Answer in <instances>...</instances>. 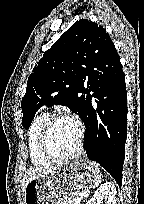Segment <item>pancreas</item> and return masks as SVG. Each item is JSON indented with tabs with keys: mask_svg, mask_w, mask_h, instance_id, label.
<instances>
[{
	"mask_svg": "<svg viewBox=\"0 0 144 204\" xmlns=\"http://www.w3.org/2000/svg\"><path fill=\"white\" fill-rule=\"evenodd\" d=\"M79 198V195H73V196H71V197H69L68 199H67V203L66 204H77L76 203V200Z\"/></svg>",
	"mask_w": 144,
	"mask_h": 204,
	"instance_id": "cf45deb5",
	"label": "pancreas"
}]
</instances>
